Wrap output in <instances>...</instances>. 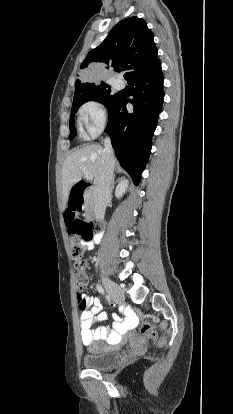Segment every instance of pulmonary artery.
I'll return each mask as SVG.
<instances>
[{
	"label": "pulmonary artery",
	"mask_w": 233,
	"mask_h": 414,
	"mask_svg": "<svg viewBox=\"0 0 233 414\" xmlns=\"http://www.w3.org/2000/svg\"><path fill=\"white\" fill-rule=\"evenodd\" d=\"M115 86L117 89H122L124 87V83L121 80H117L115 82Z\"/></svg>",
	"instance_id": "1"
}]
</instances>
